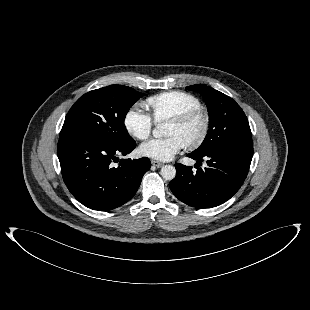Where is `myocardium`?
Segmentation results:
<instances>
[{
    "label": "myocardium",
    "instance_id": "1",
    "mask_svg": "<svg viewBox=\"0 0 310 310\" xmlns=\"http://www.w3.org/2000/svg\"><path fill=\"white\" fill-rule=\"evenodd\" d=\"M194 119L202 120V130L194 141L185 144V146L191 150L199 148L206 141L209 135L211 120L208 112L202 107H197L184 111L168 120V123L182 126L193 121Z\"/></svg>",
    "mask_w": 310,
    "mask_h": 310
}]
</instances>
